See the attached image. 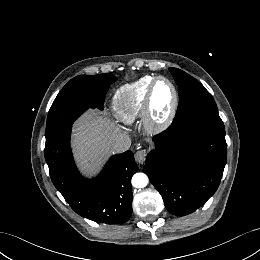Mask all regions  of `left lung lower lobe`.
<instances>
[{"instance_id": "left-lung-lower-lobe-1", "label": "left lung lower lobe", "mask_w": 260, "mask_h": 260, "mask_svg": "<svg viewBox=\"0 0 260 260\" xmlns=\"http://www.w3.org/2000/svg\"><path fill=\"white\" fill-rule=\"evenodd\" d=\"M156 150L143 168L167 210L184 216L217 190L227 160L224 124L218 110L196 111L153 138ZM191 156L189 162L183 155Z\"/></svg>"}]
</instances>
